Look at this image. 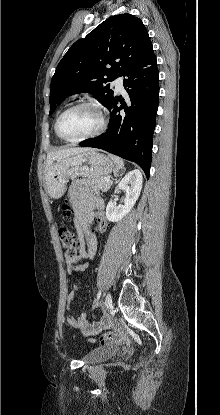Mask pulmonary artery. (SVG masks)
<instances>
[{"mask_svg": "<svg viewBox=\"0 0 220 415\" xmlns=\"http://www.w3.org/2000/svg\"><path fill=\"white\" fill-rule=\"evenodd\" d=\"M113 83H114L115 88H116L117 91L122 92L124 90L123 77L122 76L116 78Z\"/></svg>", "mask_w": 220, "mask_h": 415, "instance_id": "e3ab8cb5", "label": "pulmonary artery"}]
</instances>
